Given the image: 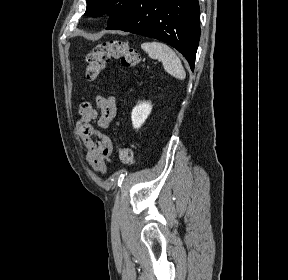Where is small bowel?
<instances>
[{
  "instance_id": "small-bowel-1",
  "label": "small bowel",
  "mask_w": 288,
  "mask_h": 280,
  "mask_svg": "<svg viewBox=\"0 0 288 280\" xmlns=\"http://www.w3.org/2000/svg\"><path fill=\"white\" fill-rule=\"evenodd\" d=\"M95 104L96 108L88 101L80 105L76 131L86 149L89 165L96 172L104 174L113 146L111 138L103 130L109 127L116 115V102L114 97L98 95ZM94 121H97V126L93 125Z\"/></svg>"
}]
</instances>
